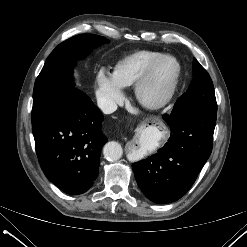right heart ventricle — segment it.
<instances>
[{"label": "right heart ventricle", "instance_id": "e07e8e85", "mask_svg": "<svg viewBox=\"0 0 247 247\" xmlns=\"http://www.w3.org/2000/svg\"><path fill=\"white\" fill-rule=\"evenodd\" d=\"M162 53L150 50L133 52L120 59L113 68V77L122 86L128 87L137 82L148 66Z\"/></svg>", "mask_w": 247, "mask_h": 247}]
</instances>
